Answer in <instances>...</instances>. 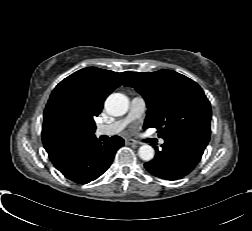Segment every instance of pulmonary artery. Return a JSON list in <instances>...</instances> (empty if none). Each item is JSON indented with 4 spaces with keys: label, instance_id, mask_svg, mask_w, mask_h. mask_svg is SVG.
<instances>
[{
    "label": "pulmonary artery",
    "instance_id": "obj_1",
    "mask_svg": "<svg viewBox=\"0 0 252 231\" xmlns=\"http://www.w3.org/2000/svg\"><path fill=\"white\" fill-rule=\"evenodd\" d=\"M146 109V102L141 96H136L131 100L129 112L126 118L114 121L108 125H100L96 129L97 135H114L121 132L131 121L140 118ZM160 144L164 143L160 139Z\"/></svg>",
    "mask_w": 252,
    "mask_h": 231
}]
</instances>
